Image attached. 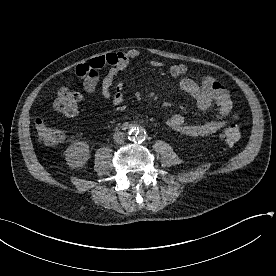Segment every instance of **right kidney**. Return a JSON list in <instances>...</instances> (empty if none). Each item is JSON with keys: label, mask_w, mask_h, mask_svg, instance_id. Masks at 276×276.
Listing matches in <instances>:
<instances>
[{"label": "right kidney", "mask_w": 276, "mask_h": 276, "mask_svg": "<svg viewBox=\"0 0 276 276\" xmlns=\"http://www.w3.org/2000/svg\"><path fill=\"white\" fill-rule=\"evenodd\" d=\"M67 164L73 168L86 164L90 157L89 145L78 141L71 144L65 151Z\"/></svg>", "instance_id": "right-kidney-1"}]
</instances>
